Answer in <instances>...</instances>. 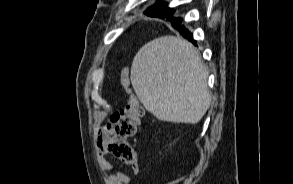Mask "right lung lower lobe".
<instances>
[{
    "label": "right lung lower lobe",
    "mask_w": 293,
    "mask_h": 184,
    "mask_svg": "<svg viewBox=\"0 0 293 184\" xmlns=\"http://www.w3.org/2000/svg\"><path fill=\"white\" fill-rule=\"evenodd\" d=\"M169 21H170V23H171V25L175 28V29H177V30H179V32L186 38V39H188V40H190L194 45H197L196 44V42L193 40V38H192V34L188 31V30H186V29H184L183 28V26H180V23H181V18H170V19H168Z\"/></svg>",
    "instance_id": "1"
}]
</instances>
